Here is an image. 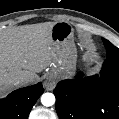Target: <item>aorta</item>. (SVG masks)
Returning <instances> with one entry per match:
<instances>
[{
  "mask_svg": "<svg viewBox=\"0 0 119 119\" xmlns=\"http://www.w3.org/2000/svg\"><path fill=\"white\" fill-rule=\"evenodd\" d=\"M41 103L44 106H47V107L52 106L55 103V96H54V94H52V93H44L41 96Z\"/></svg>",
  "mask_w": 119,
  "mask_h": 119,
  "instance_id": "aorta-1",
  "label": "aorta"
}]
</instances>
